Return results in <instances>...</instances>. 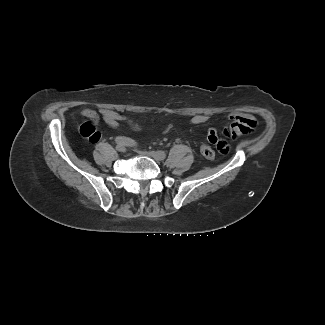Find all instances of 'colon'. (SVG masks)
Instances as JSON below:
<instances>
[{"mask_svg":"<svg viewBox=\"0 0 325 325\" xmlns=\"http://www.w3.org/2000/svg\"><path fill=\"white\" fill-rule=\"evenodd\" d=\"M80 133L90 142L95 143L100 139V133L91 122H85L80 127ZM201 154L208 160H212L215 156L214 150L207 144L201 145Z\"/></svg>","mask_w":325,"mask_h":325,"instance_id":"5ec220e1","label":"colon"}]
</instances>
